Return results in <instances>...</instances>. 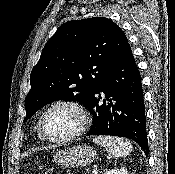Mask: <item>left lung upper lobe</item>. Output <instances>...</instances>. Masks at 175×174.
Segmentation results:
<instances>
[{
	"instance_id": "1",
	"label": "left lung upper lobe",
	"mask_w": 175,
	"mask_h": 174,
	"mask_svg": "<svg viewBox=\"0 0 175 174\" xmlns=\"http://www.w3.org/2000/svg\"><path fill=\"white\" fill-rule=\"evenodd\" d=\"M128 45L121 28L104 17L62 24L31 72L24 122L57 100H74L87 107L95 87Z\"/></svg>"
}]
</instances>
